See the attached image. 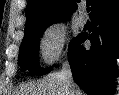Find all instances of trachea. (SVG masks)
<instances>
[{
	"label": "trachea",
	"mask_w": 119,
	"mask_h": 95,
	"mask_svg": "<svg viewBox=\"0 0 119 95\" xmlns=\"http://www.w3.org/2000/svg\"><path fill=\"white\" fill-rule=\"evenodd\" d=\"M87 12H90V7H89V5H87Z\"/></svg>",
	"instance_id": "obj_1"
}]
</instances>
